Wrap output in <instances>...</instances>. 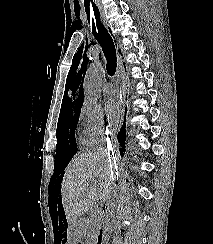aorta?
I'll list each match as a JSON object with an SVG mask.
<instances>
[{"instance_id":"1","label":"aorta","mask_w":213,"mask_h":244,"mask_svg":"<svg viewBox=\"0 0 213 244\" xmlns=\"http://www.w3.org/2000/svg\"><path fill=\"white\" fill-rule=\"evenodd\" d=\"M103 78V67L100 64L91 65L85 75L84 79V96L89 103H97L100 97L99 84Z\"/></svg>"}]
</instances>
